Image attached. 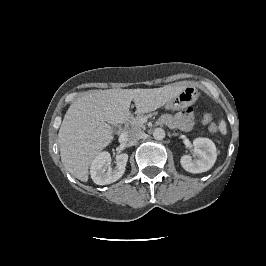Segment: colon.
Instances as JSON below:
<instances>
[{"label": "colon", "instance_id": "5ec220e1", "mask_svg": "<svg viewBox=\"0 0 266 266\" xmlns=\"http://www.w3.org/2000/svg\"><path fill=\"white\" fill-rule=\"evenodd\" d=\"M202 121L205 124H209V130L211 132L217 131V125L215 123H212V115L209 113H206L202 116Z\"/></svg>", "mask_w": 266, "mask_h": 266}]
</instances>
